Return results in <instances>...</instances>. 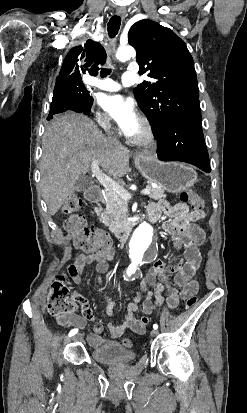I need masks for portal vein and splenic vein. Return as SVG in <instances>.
Instances as JSON below:
<instances>
[{
  "label": "portal vein and splenic vein",
  "instance_id": "obj_1",
  "mask_svg": "<svg viewBox=\"0 0 247 413\" xmlns=\"http://www.w3.org/2000/svg\"><path fill=\"white\" fill-rule=\"evenodd\" d=\"M91 170L93 172V176L98 178L99 182L105 186L106 190H110V192H114V194H120L122 198H132L130 192H128L124 186H121V184H118V182H115L113 178H110V176H107L105 172L100 170L99 160H92ZM142 192L143 194H151L150 188H143Z\"/></svg>",
  "mask_w": 247,
  "mask_h": 413
}]
</instances>
